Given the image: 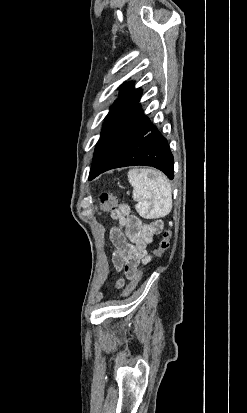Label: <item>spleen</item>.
I'll use <instances>...</instances> for the list:
<instances>
[{"label": "spleen", "instance_id": "spleen-1", "mask_svg": "<svg viewBox=\"0 0 247 413\" xmlns=\"http://www.w3.org/2000/svg\"><path fill=\"white\" fill-rule=\"evenodd\" d=\"M128 180L133 186L134 200H142L136 204L139 213L142 207H149L147 215L153 219L166 217L172 209V190L170 180L160 170L153 168H130Z\"/></svg>", "mask_w": 247, "mask_h": 413}]
</instances>
